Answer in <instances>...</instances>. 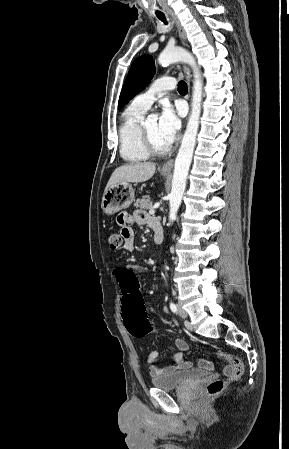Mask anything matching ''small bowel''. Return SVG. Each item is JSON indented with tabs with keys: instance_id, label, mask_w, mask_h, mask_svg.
Segmentation results:
<instances>
[{
	"instance_id": "1",
	"label": "small bowel",
	"mask_w": 289,
	"mask_h": 449,
	"mask_svg": "<svg viewBox=\"0 0 289 449\" xmlns=\"http://www.w3.org/2000/svg\"><path fill=\"white\" fill-rule=\"evenodd\" d=\"M159 223L160 222L156 217L150 216L144 211L138 210L133 213H121L118 217V224L121 227V234L124 239L123 249L127 252H132L134 250L135 234L132 227L130 226L131 224L146 225L153 229L154 225ZM120 268H132L133 270V267L130 265H126ZM175 343L179 352L174 355V362L169 366H159L153 364L159 357L158 351H152L148 355L146 364L148 365L149 372L152 376H157L170 371L188 369L192 367V363L190 361H185L183 359V354L188 349V344L182 339H177ZM198 366L205 370H211L214 368L213 362L206 359H200L198 361ZM221 371L223 375L228 376L233 372V367L231 365H227L224 366Z\"/></svg>"
}]
</instances>
